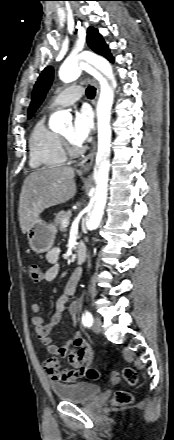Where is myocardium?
<instances>
[{"instance_id":"f54148a6","label":"myocardium","mask_w":174,"mask_h":440,"mask_svg":"<svg viewBox=\"0 0 174 440\" xmlns=\"http://www.w3.org/2000/svg\"><path fill=\"white\" fill-rule=\"evenodd\" d=\"M61 139L67 155L75 157L82 153L83 149L79 146L74 145L67 137L61 135Z\"/></svg>"}]
</instances>
